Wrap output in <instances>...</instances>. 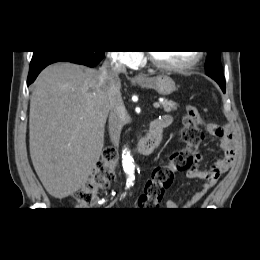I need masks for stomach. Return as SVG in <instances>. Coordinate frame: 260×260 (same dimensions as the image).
<instances>
[{"label":"stomach","instance_id":"1","mask_svg":"<svg viewBox=\"0 0 260 260\" xmlns=\"http://www.w3.org/2000/svg\"><path fill=\"white\" fill-rule=\"evenodd\" d=\"M138 84L143 88L154 89L162 96H168L176 90L174 80L170 76L164 74L139 80Z\"/></svg>","mask_w":260,"mask_h":260}]
</instances>
